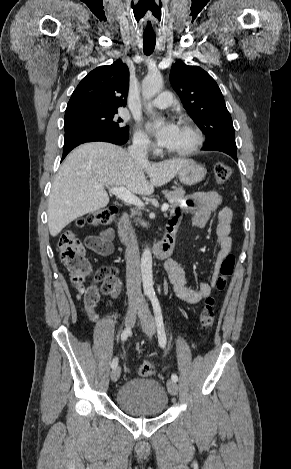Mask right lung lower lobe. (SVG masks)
<instances>
[{
    "label": "right lung lower lobe",
    "mask_w": 291,
    "mask_h": 469,
    "mask_svg": "<svg viewBox=\"0 0 291 469\" xmlns=\"http://www.w3.org/2000/svg\"><path fill=\"white\" fill-rule=\"evenodd\" d=\"M129 131H105L99 129H74L65 132L62 160L76 146L85 142L104 141L122 145L128 140Z\"/></svg>",
    "instance_id": "obj_1"
}]
</instances>
